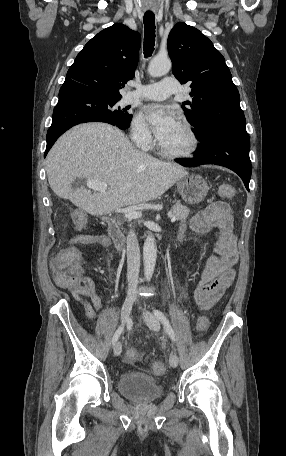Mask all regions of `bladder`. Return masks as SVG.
<instances>
[{
	"label": "bladder",
	"instance_id": "bladder-1",
	"mask_svg": "<svg viewBox=\"0 0 286 456\" xmlns=\"http://www.w3.org/2000/svg\"><path fill=\"white\" fill-rule=\"evenodd\" d=\"M119 393L138 403H149L159 399L164 389L153 377L139 372H127L119 378Z\"/></svg>",
	"mask_w": 286,
	"mask_h": 456
}]
</instances>
